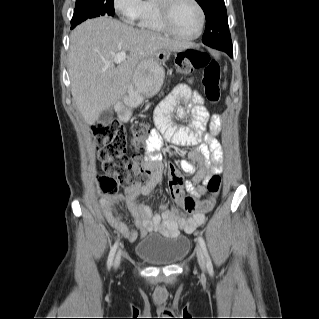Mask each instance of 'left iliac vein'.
<instances>
[{"label":"left iliac vein","mask_w":319,"mask_h":319,"mask_svg":"<svg viewBox=\"0 0 319 319\" xmlns=\"http://www.w3.org/2000/svg\"><path fill=\"white\" fill-rule=\"evenodd\" d=\"M196 253H197L198 263H199L201 269L204 270L205 266H206V260H205V256L203 254V251H202V249L199 246L196 249Z\"/></svg>","instance_id":"obj_1"}]
</instances>
